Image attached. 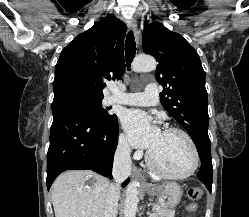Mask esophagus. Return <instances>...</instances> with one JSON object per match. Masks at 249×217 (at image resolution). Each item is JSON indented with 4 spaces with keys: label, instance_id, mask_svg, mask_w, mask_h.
Here are the masks:
<instances>
[{
    "label": "esophagus",
    "instance_id": "34e87169",
    "mask_svg": "<svg viewBox=\"0 0 249 217\" xmlns=\"http://www.w3.org/2000/svg\"><path fill=\"white\" fill-rule=\"evenodd\" d=\"M127 25L134 32L136 39H137V23H136L135 19L129 18L127 20ZM137 43H138V40H137ZM132 171H133V176L138 178L140 180L141 184L146 183V178L141 174V172L139 171V169L136 166L133 167Z\"/></svg>",
    "mask_w": 249,
    "mask_h": 217
}]
</instances>
